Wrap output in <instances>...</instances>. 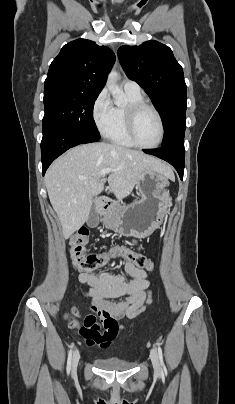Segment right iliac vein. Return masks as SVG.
Here are the masks:
<instances>
[{
  "mask_svg": "<svg viewBox=\"0 0 235 404\" xmlns=\"http://www.w3.org/2000/svg\"><path fill=\"white\" fill-rule=\"evenodd\" d=\"M79 359H80L79 350H75L74 356H73V361H72V374L73 375L76 373L77 366H78V363H79Z\"/></svg>",
  "mask_w": 235,
  "mask_h": 404,
  "instance_id": "obj_1",
  "label": "right iliac vein"
}]
</instances>
